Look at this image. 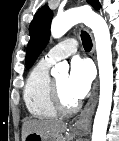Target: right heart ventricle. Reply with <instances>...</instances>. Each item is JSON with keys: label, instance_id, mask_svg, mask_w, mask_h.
Wrapping results in <instances>:
<instances>
[{"label": "right heart ventricle", "instance_id": "right-heart-ventricle-1", "mask_svg": "<svg viewBox=\"0 0 119 141\" xmlns=\"http://www.w3.org/2000/svg\"><path fill=\"white\" fill-rule=\"evenodd\" d=\"M51 63L40 60L31 70L24 87V101L31 115L39 119H53L57 112L49 97Z\"/></svg>", "mask_w": 119, "mask_h": 141}]
</instances>
